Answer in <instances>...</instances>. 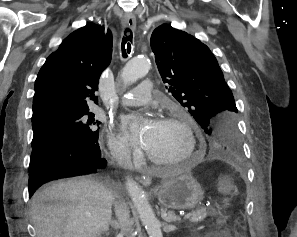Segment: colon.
Wrapping results in <instances>:
<instances>
[{
	"label": "colon",
	"mask_w": 297,
	"mask_h": 237,
	"mask_svg": "<svg viewBox=\"0 0 297 237\" xmlns=\"http://www.w3.org/2000/svg\"><path fill=\"white\" fill-rule=\"evenodd\" d=\"M220 222L222 223L223 221L221 220ZM240 237H244V236L241 235Z\"/></svg>",
	"instance_id": "1"
}]
</instances>
